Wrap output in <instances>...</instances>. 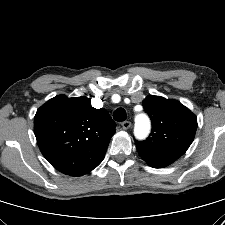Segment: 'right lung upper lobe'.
<instances>
[{"mask_svg":"<svg viewBox=\"0 0 225 225\" xmlns=\"http://www.w3.org/2000/svg\"><path fill=\"white\" fill-rule=\"evenodd\" d=\"M115 127L109 113L92 107L85 96L58 95L42 105L34 118L43 156L69 176L87 174L102 162Z\"/></svg>","mask_w":225,"mask_h":225,"instance_id":"cb5924a9","label":"right lung upper lobe"}]
</instances>
